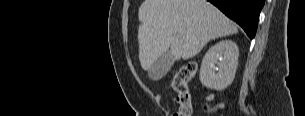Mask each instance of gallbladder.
I'll return each instance as SVG.
<instances>
[{"instance_id": "gallbladder-1", "label": "gallbladder", "mask_w": 305, "mask_h": 116, "mask_svg": "<svg viewBox=\"0 0 305 116\" xmlns=\"http://www.w3.org/2000/svg\"><path fill=\"white\" fill-rule=\"evenodd\" d=\"M174 62V56L170 50L164 52L148 69V76L153 81L163 78L170 70Z\"/></svg>"}]
</instances>
